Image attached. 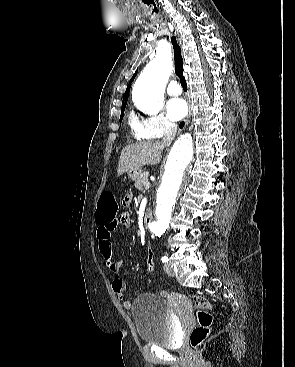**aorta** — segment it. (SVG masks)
I'll list each match as a JSON object with an SVG mask.
<instances>
[{
	"mask_svg": "<svg viewBox=\"0 0 295 367\" xmlns=\"http://www.w3.org/2000/svg\"><path fill=\"white\" fill-rule=\"evenodd\" d=\"M169 58L157 56L142 71L133 88V101L138 109L157 114L163 105V92L171 73ZM193 157L190 134L180 136L167 158L156 197V220L149 225L151 233L160 237L166 231Z\"/></svg>",
	"mask_w": 295,
	"mask_h": 367,
	"instance_id": "obj_1",
	"label": "aorta"
}]
</instances>
